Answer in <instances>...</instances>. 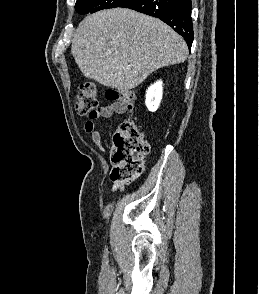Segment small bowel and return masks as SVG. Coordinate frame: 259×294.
<instances>
[{"mask_svg": "<svg viewBox=\"0 0 259 294\" xmlns=\"http://www.w3.org/2000/svg\"><path fill=\"white\" fill-rule=\"evenodd\" d=\"M125 111V106L116 101H112L111 103L101 106L97 109L94 116L89 117L84 125V130L87 134L91 135V139L94 144L99 146L101 149H104V143L102 134L96 130L95 121L98 119H107L115 114H122ZM124 190V183L122 182H114L111 187V192H118Z\"/></svg>", "mask_w": 259, "mask_h": 294, "instance_id": "obj_1", "label": "small bowel"}]
</instances>
